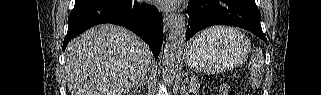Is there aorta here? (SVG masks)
<instances>
[{
  "label": "aorta",
  "instance_id": "obj_1",
  "mask_svg": "<svg viewBox=\"0 0 321 95\" xmlns=\"http://www.w3.org/2000/svg\"><path fill=\"white\" fill-rule=\"evenodd\" d=\"M187 24L185 18L180 16L174 22L169 33L163 55V79L171 82L179 69L183 53Z\"/></svg>",
  "mask_w": 321,
  "mask_h": 95
}]
</instances>
